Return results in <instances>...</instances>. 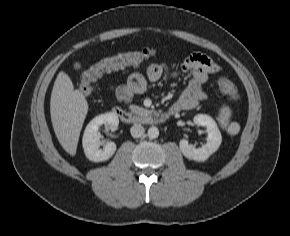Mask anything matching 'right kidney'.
<instances>
[{"mask_svg": "<svg viewBox=\"0 0 290 236\" xmlns=\"http://www.w3.org/2000/svg\"><path fill=\"white\" fill-rule=\"evenodd\" d=\"M103 124H107L112 130L116 129L119 124L118 116L114 113L101 114L92 119L87 125L83 134L82 145L86 157L93 162L107 161L117 149L114 142H107L103 149H100L102 143L98 129Z\"/></svg>", "mask_w": 290, "mask_h": 236, "instance_id": "right-kidney-1", "label": "right kidney"}]
</instances>
